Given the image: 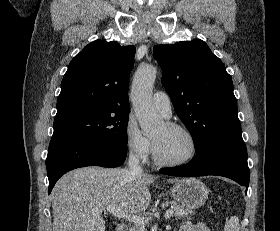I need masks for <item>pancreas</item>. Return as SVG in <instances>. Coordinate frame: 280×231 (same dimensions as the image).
<instances>
[{"instance_id":"cf45deb5","label":"pancreas","mask_w":280,"mask_h":231,"mask_svg":"<svg viewBox=\"0 0 280 231\" xmlns=\"http://www.w3.org/2000/svg\"><path fill=\"white\" fill-rule=\"evenodd\" d=\"M168 203H171L172 209L174 211V217L176 219H181V217H187L188 213H194L192 209H186L184 205H180V203H177V201H165V203H162L163 207L164 205H168ZM131 231H144L143 223H136V225H133V227H130Z\"/></svg>"}]
</instances>
